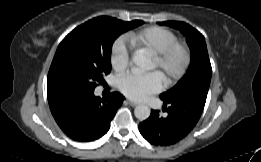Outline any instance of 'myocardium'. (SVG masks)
<instances>
[{
	"label": "myocardium",
	"mask_w": 261,
	"mask_h": 162,
	"mask_svg": "<svg viewBox=\"0 0 261 162\" xmlns=\"http://www.w3.org/2000/svg\"><path fill=\"white\" fill-rule=\"evenodd\" d=\"M153 56L158 62V68L165 74L167 84L180 80L188 71L192 60L190 48L181 42L174 43L160 52L153 53ZM175 56L180 57V63L176 68L170 69V62Z\"/></svg>",
	"instance_id": "1"
}]
</instances>
